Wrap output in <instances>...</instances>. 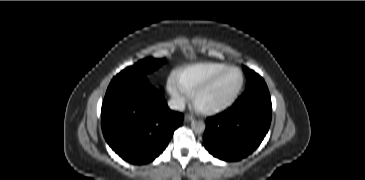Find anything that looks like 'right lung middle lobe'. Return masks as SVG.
Instances as JSON below:
<instances>
[{
	"instance_id": "obj_1",
	"label": "right lung middle lobe",
	"mask_w": 365,
	"mask_h": 180,
	"mask_svg": "<svg viewBox=\"0 0 365 180\" xmlns=\"http://www.w3.org/2000/svg\"><path fill=\"white\" fill-rule=\"evenodd\" d=\"M164 62L165 59H153V58L143 59L135 63L133 66L127 67L126 69L122 70L119 74H117L112 79L109 87L122 83L129 79L144 78L145 74L153 70H156Z\"/></svg>"
}]
</instances>
